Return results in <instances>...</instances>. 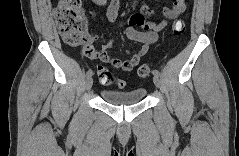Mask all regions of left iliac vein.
<instances>
[{
	"label": "left iliac vein",
	"instance_id": "obj_1",
	"mask_svg": "<svg viewBox=\"0 0 239 156\" xmlns=\"http://www.w3.org/2000/svg\"><path fill=\"white\" fill-rule=\"evenodd\" d=\"M153 82H154V84H155L156 87H159V86H160L159 76L154 75V76H153Z\"/></svg>",
	"mask_w": 239,
	"mask_h": 156
}]
</instances>
